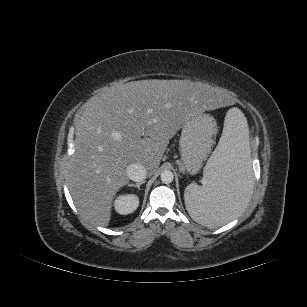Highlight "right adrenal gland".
Listing matches in <instances>:
<instances>
[{
	"label": "right adrenal gland",
	"instance_id": "2a0ac1e0",
	"mask_svg": "<svg viewBox=\"0 0 307 307\" xmlns=\"http://www.w3.org/2000/svg\"><path fill=\"white\" fill-rule=\"evenodd\" d=\"M144 183H145L144 181L139 182V183H136V184L128 183V186H129V187H136V188H138V190H140V186H141L142 184H144Z\"/></svg>",
	"mask_w": 307,
	"mask_h": 307
}]
</instances>
